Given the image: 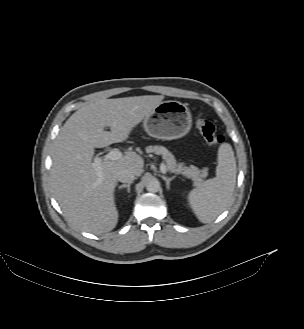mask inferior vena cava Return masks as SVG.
<instances>
[{
  "label": "inferior vena cava",
  "mask_w": 304,
  "mask_h": 329,
  "mask_svg": "<svg viewBox=\"0 0 304 329\" xmlns=\"http://www.w3.org/2000/svg\"><path fill=\"white\" fill-rule=\"evenodd\" d=\"M135 179V174L129 169L120 170L117 174V180L123 183H130Z\"/></svg>",
  "instance_id": "1"
}]
</instances>
